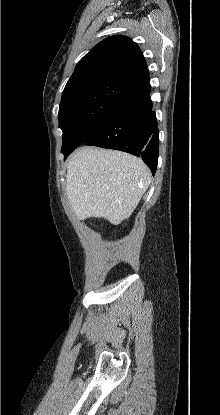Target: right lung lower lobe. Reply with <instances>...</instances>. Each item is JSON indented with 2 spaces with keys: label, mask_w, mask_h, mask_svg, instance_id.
I'll list each match as a JSON object with an SVG mask.
<instances>
[{
  "label": "right lung lower lobe",
  "mask_w": 220,
  "mask_h": 415,
  "mask_svg": "<svg viewBox=\"0 0 220 415\" xmlns=\"http://www.w3.org/2000/svg\"><path fill=\"white\" fill-rule=\"evenodd\" d=\"M150 91L149 82L141 86L107 116L84 144L121 150L142 157L154 175L158 162L159 131ZM73 149L74 147L62 149L64 159Z\"/></svg>",
  "instance_id": "98d812e1"
}]
</instances>
